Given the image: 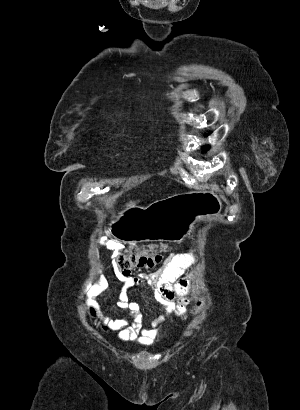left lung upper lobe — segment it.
Wrapping results in <instances>:
<instances>
[{
	"mask_svg": "<svg viewBox=\"0 0 300 410\" xmlns=\"http://www.w3.org/2000/svg\"><path fill=\"white\" fill-rule=\"evenodd\" d=\"M207 148H208V146H204V147H203V150H207Z\"/></svg>",
	"mask_w": 300,
	"mask_h": 410,
	"instance_id": "left-lung-upper-lobe-1",
	"label": "left lung upper lobe"
}]
</instances>
